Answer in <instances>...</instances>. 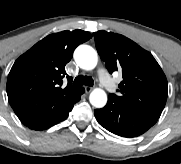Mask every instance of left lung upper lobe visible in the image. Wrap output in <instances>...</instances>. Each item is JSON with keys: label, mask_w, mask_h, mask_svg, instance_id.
<instances>
[{"label": "left lung upper lobe", "mask_w": 181, "mask_h": 164, "mask_svg": "<svg viewBox=\"0 0 181 164\" xmlns=\"http://www.w3.org/2000/svg\"><path fill=\"white\" fill-rule=\"evenodd\" d=\"M93 35L109 73H122L119 95L109 96L159 118L166 104L167 79L152 54L120 34L102 30Z\"/></svg>", "instance_id": "left-lung-upper-lobe-1"}]
</instances>
